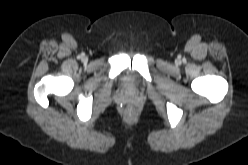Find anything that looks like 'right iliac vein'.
Wrapping results in <instances>:
<instances>
[{
  "mask_svg": "<svg viewBox=\"0 0 248 165\" xmlns=\"http://www.w3.org/2000/svg\"><path fill=\"white\" fill-rule=\"evenodd\" d=\"M82 60H83V61H86V60H87V57H86V56H83V57H82Z\"/></svg>",
  "mask_w": 248,
  "mask_h": 165,
  "instance_id": "63e3f726",
  "label": "right iliac vein"
}]
</instances>
